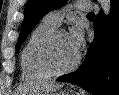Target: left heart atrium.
Listing matches in <instances>:
<instances>
[{"label": "left heart atrium", "instance_id": "1", "mask_svg": "<svg viewBox=\"0 0 119 95\" xmlns=\"http://www.w3.org/2000/svg\"><path fill=\"white\" fill-rule=\"evenodd\" d=\"M68 39L73 49L79 53L83 45V30L79 24H75L68 33Z\"/></svg>", "mask_w": 119, "mask_h": 95}]
</instances>
